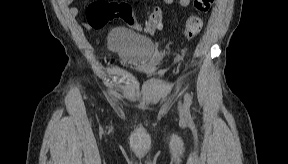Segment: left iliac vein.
<instances>
[{
  "mask_svg": "<svg viewBox=\"0 0 288 164\" xmlns=\"http://www.w3.org/2000/svg\"><path fill=\"white\" fill-rule=\"evenodd\" d=\"M178 109H179V114L182 118H185L187 116L186 111L184 109V106L182 103H179L178 105Z\"/></svg>",
  "mask_w": 288,
  "mask_h": 164,
  "instance_id": "left-iliac-vein-1",
  "label": "left iliac vein"
}]
</instances>
